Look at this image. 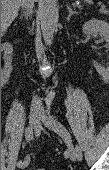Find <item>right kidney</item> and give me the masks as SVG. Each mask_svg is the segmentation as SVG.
Listing matches in <instances>:
<instances>
[{"instance_id":"ca27d5eb","label":"right kidney","mask_w":109,"mask_h":170,"mask_svg":"<svg viewBox=\"0 0 109 170\" xmlns=\"http://www.w3.org/2000/svg\"><path fill=\"white\" fill-rule=\"evenodd\" d=\"M5 57H6V63L4 65V68L2 70V81L3 83L6 82L10 76V73L12 71V52H13V47L9 43H4L2 45Z\"/></svg>"}]
</instances>
